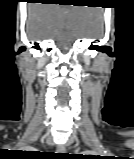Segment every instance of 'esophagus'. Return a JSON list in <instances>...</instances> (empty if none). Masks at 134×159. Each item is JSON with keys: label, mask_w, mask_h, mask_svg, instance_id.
Masks as SVG:
<instances>
[{"label": "esophagus", "mask_w": 134, "mask_h": 159, "mask_svg": "<svg viewBox=\"0 0 134 159\" xmlns=\"http://www.w3.org/2000/svg\"><path fill=\"white\" fill-rule=\"evenodd\" d=\"M57 151H58L59 153H65V151H66L65 146H63V145H58V146H57Z\"/></svg>", "instance_id": "34e87169"}]
</instances>
